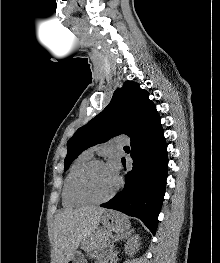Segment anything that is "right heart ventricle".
I'll return each instance as SVG.
<instances>
[{"instance_id": "1", "label": "right heart ventricle", "mask_w": 220, "mask_h": 263, "mask_svg": "<svg viewBox=\"0 0 220 263\" xmlns=\"http://www.w3.org/2000/svg\"><path fill=\"white\" fill-rule=\"evenodd\" d=\"M92 158V155L84 152L80 154L74 162L71 164L67 176L64 181L63 191H62V204L65 207H75L81 205L83 203L76 201L71 194V184L73 177L77 173V171L84 166L87 162H89Z\"/></svg>"}]
</instances>
